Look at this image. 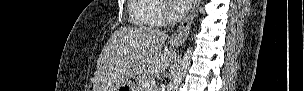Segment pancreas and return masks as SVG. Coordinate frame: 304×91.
<instances>
[{"instance_id":"pancreas-1","label":"pancreas","mask_w":304,"mask_h":91,"mask_svg":"<svg viewBox=\"0 0 304 91\" xmlns=\"http://www.w3.org/2000/svg\"><path fill=\"white\" fill-rule=\"evenodd\" d=\"M147 80H151V78L149 76H138L136 79L135 90L142 91V85Z\"/></svg>"}]
</instances>
